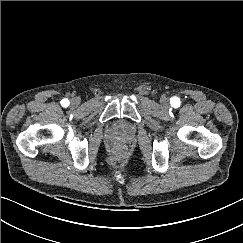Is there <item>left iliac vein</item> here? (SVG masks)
I'll return each mask as SVG.
<instances>
[{"instance_id": "1", "label": "left iliac vein", "mask_w": 243, "mask_h": 243, "mask_svg": "<svg viewBox=\"0 0 243 243\" xmlns=\"http://www.w3.org/2000/svg\"><path fill=\"white\" fill-rule=\"evenodd\" d=\"M160 101H161V104L165 107L169 105V101L166 97H162Z\"/></svg>"}]
</instances>
